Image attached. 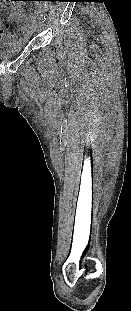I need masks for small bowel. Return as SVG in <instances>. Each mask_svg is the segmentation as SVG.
<instances>
[{
  "mask_svg": "<svg viewBox=\"0 0 131 311\" xmlns=\"http://www.w3.org/2000/svg\"><path fill=\"white\" fill-rule=\"evenodd\" d=\"M0 36H1L2 38H9V37H10V33L7 32V31H5V30L2 28L1 24H0Z\"/></svg>",
  "mask_w": 131,
  "mask_h": 311,
  "instance_id": "1",
  "label": "small bowel"
}]
</instances>
